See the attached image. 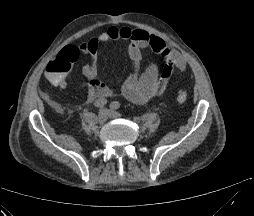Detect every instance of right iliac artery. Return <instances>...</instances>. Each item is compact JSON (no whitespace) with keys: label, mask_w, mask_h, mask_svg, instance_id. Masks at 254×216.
<instances>
[{"label":"right iliac artery","mask_w":254,"mask_h":216,"mask_svg":"<svg viewBox=\"0 0 254 216\" xmlns=\"http://www.w3.org/2000/svg\"><path fill=\"white\" fill-rule=\"evenodd\" d=\"M107 104V100L106 99H98L94 102V106L98 107V108H102Z\"/></svg>","instance_id":"obj_1"}]
</instances>
